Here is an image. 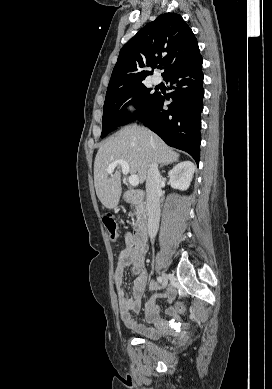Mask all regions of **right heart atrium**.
<instances>
[{
    "label": "right heart atrium",
    "mask_w": 272,
    "mask_h": 389,
    "mask_svg": "<svg viewBox=\"0 0 272 389\" xmlns=\"http://www.w3.org/2000/svg\"><path fill=\"white\" fill-rule=\"evenodd\" d=\"M135 109H136V105H135L134 102L129 101V102L126 104V110H127L128 112H133Z\"/></svg>",
    "instance_id": "d8ad5b80"
}]
</instances>
